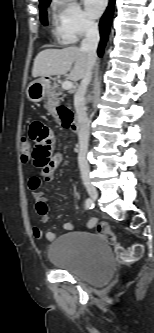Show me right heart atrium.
Returning a JSON list of instances; mask_svg holds the SVG:
<instances>
[{"instance_id":"right-heart-atrium-1","label":"right heart atrium","mask_w":154,"mask_h":333,"mask_svg":"<svg viewBox=\"0 0 154 333\" xmlns=\"http://www.w3.org/2000/svg\"><path fill=\"white\" fill-rule=\"evenodd\" d=\"M55 21L57 38L65 44L75 43L96 29V23L75 0L58 1Z\"/></svg>"}]
</instances>
